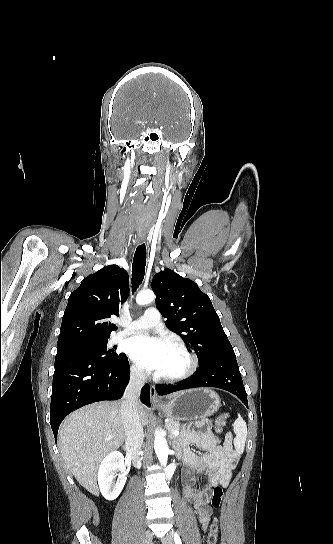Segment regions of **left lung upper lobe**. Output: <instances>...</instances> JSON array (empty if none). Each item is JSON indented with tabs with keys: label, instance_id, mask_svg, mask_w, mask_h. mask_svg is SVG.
Here are the masks:
<instances>
[{
	"label": "left lung upper lobe",
	"instance_id": "5c2ea615",
	"mask_svg": "<svg viewBox=\"0 0 333 544\" xmlns=\"http://www.w3.org/2000/svg\"><path fill=\"white\" fill-rule=\"evenodd\" d=\"M156 307L167 327L195 350L199 365L213 358H236L208 295L170 269L152 280Z\"/></svg>",
	"mask_w": 333,
	"mask_h": 544
}]
</instances>
